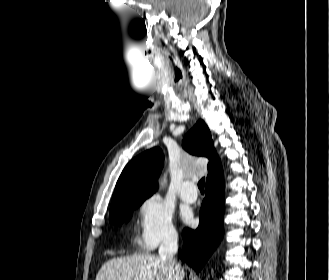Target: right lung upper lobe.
<instances>
[{
    "instance_id": "right-lung-upper-lobe-1",
    "label": "right lung upper lobe",
    "mask_w": 329,
    "mask_h": 280,
    "mask_svg": "<svg viewBox=\"0 0 329 280\" xmlns=\"http://www.w3.org/2000/svg\"><path fill=\"white\" fill-rule=\"evenodd\" d=\"M183 148L191 154L209 159L207 181L222 170L210 131L203 120L187 133ZM163 153L152 148L132 159L121 173L112 197L110 211L124 201L148 198L156 191L157 178L163 168Z\"/></svg>"
}]
</instances>
